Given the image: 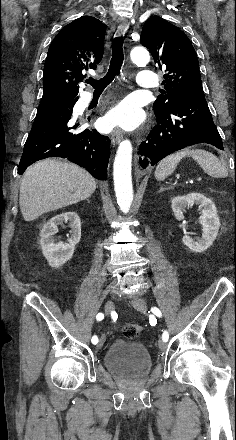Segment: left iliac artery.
<instances>
[{"instance_id": "44dca946", "label": "left iliac artery", "mask_w": 236, "mask_h": 440, "mask_svg": "<svg viewBox=\"0 0 236 440\" xmlns=\"http://www.w3.org/2000/svg\"><path fill=\"white\" fill-rule=\"evenodd\" d=\"M151 311H152L156 316H158V317H161V316H162L161 311H160L157 307H152V308H151ZM168 338H169V334H168V332H167V331H164V332H163V335H162V339H163L164 341H168Z\"/></svg>"}]
</instances>
